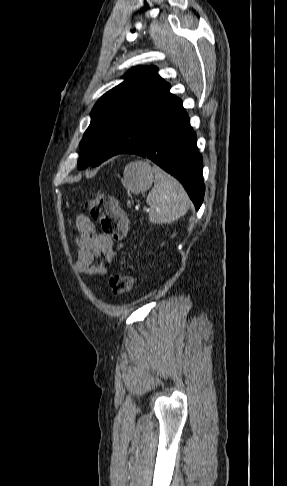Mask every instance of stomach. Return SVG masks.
<instances>
[{
	"instance_id": "obj_1",
	"label": "stomach",
	"mask_w": 287,
	"mask_h": 486,
	"mask_svg": "<svg viewBox=\"0 0 287 486\" xmlns=\"http://www.w3.org/2000/svg\"><path fill=\"white\" fill-rule=\"evenodd\" d=\"M153 180L151 166L145 161H135L125 167L121 181L128 191L138 194L148 190L152 186Z\"/></svg>"
}]
</instances>
